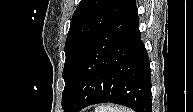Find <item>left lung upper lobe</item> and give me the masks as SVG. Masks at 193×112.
Listing matches in <instances>:
<instances>
[{"label":"left lung upper lobe","instance_id":"1","mask_svg":"<svg viewBox=\"0 0 193 112\" xmlns=\"http://www.w3.org/2000/svg\"><path fill=\"white\" fill-rule=\"evenodd\" d=\"M132 0H82L75 10L65 44L63 69L65 88L81 58L94 40L112 23Z\"/></svg>","mask_w":193,"mask_h":112}]
</instances>
